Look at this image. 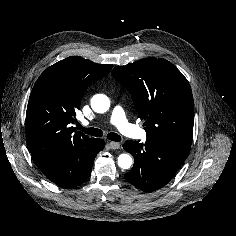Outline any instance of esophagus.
Wrapping results in <instances>:
<instances>
[{
	"instance_id": "esophagus-1",
	"label": "esophagus",
	"mask_w": 236,
	"mask_h": 236,
	"mask_svg": "<svg viewBox=\"0 0 236 236\" xmlns=\"http://www.w3.org/2000/svg\"><path fill=\"white\" fill-rule=\"evenodd\" d=\"M108 145L112 150H116L120 148V144L117 142H109Z\"/></svg>"
}]
</instances>
